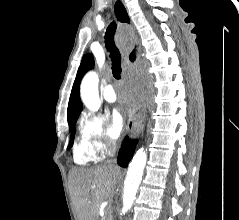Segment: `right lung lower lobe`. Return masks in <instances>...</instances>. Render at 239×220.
<instances>
[{
    "label": "right lung lower lobe",
    "mask_w": 239,
    "mask_h": 220,
    "mask_svg": "<svg viewBox=\"0 0 239 220\" xmlns=\"http://www.w3.org/2000/svg\"><path fill=\"white\" fill-rule=\"evenodd\" d=\"M136 141L130 140L128 137L125 138L122 148L119 151L117 162L121 167H127L128 162L131 160Z\"/></svg>",
    "instance_id": "right-lung-lower-lobe-1"
}]
</instances>
